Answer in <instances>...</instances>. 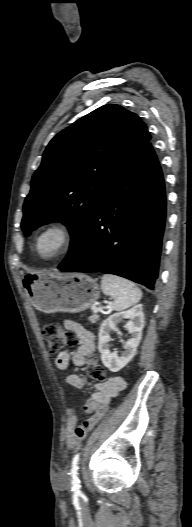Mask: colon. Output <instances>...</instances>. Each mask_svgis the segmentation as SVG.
Instances as JSON below:
<instances>
[{
  "instance_id": "obj_1",
  "label": "colon",
  "mask_w": 192,
  "mask_h": 527,
  "mask_svg": "<svg viewBox=\"0 0 192 527\" xmlns=\"http://www.w3.org/2000/svg\"><path fill=\"white\" fill-rule=\"evenodd\" d=\"M42 332L51 352H58L67 346L73 345L77 338L73 331L66 330L56 323H46ZM86 371L88 376L97 382L105 380V371L94 355L88 359Z\"/></svg>"
}]
</instances>
